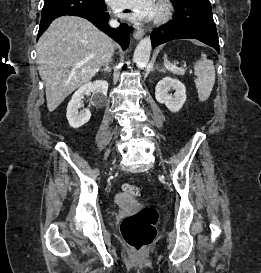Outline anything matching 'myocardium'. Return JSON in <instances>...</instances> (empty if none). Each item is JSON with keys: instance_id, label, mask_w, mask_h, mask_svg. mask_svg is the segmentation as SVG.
I'll list each match as a JSON object with an SVG mask.
<instances>
[{"instance_id": "myocardium-1", "label": "myocardium", "mask_w": 261, "mask_h": 273, "mask_svg": "<svg viewBox=\"0 0 261 273\" xmlns=\"http://www.w3.org/2000/svg\"><path fill=\"white\" fill-rule=\"evenodd\" d=\"M172 12V5L168 0H159L156 13L154 15L155 23H163L169 19Z\"/></svg>"}]
</instances>
